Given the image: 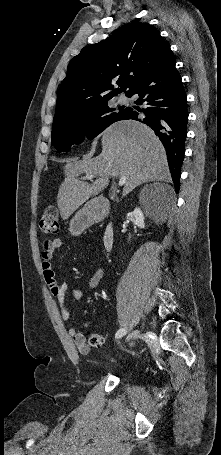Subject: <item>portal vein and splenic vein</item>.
<instances>
[{
    "instance_id": "portal-vein-and-splenic-vein-1",
    "label": "portal vein and splenic vein",
    "mask_w": 221,
    "mask_h": 455,
    "mask_svg": "<svg viewBox=\"0 0 221 455\" xmlns=\"http://www.w3.org/2000/svg\"><path fill=\"white\" fill-rule=\"evenodd\" d=\"M86 177H87L88 179H93V178H94L93 175H87ZM125 183H126V177H121L120 180H119L118 185H119V186H123Z\"/></svg>"
}]
</instances>
